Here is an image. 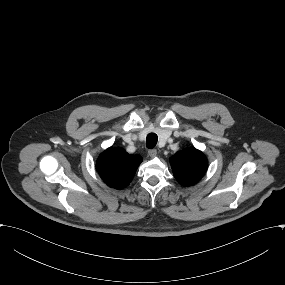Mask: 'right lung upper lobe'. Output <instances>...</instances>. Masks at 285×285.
Returning <instances> with one entry per match:
<instances>
[{
	"label": "right lung upper lobe",
	"instance_id": "1",
	"mask_svg": "<svg viewBox=\"0 0 285 285\" xmlns=\"http://www.w3.org/2000/svg\"><path fill=\"white\" fill-rule=\"evenodd\" d=\"M141 162L140 155L110 147L99 156L96 170L108 186L122 189L131 182Z\"/></svg>",
	"mask_w": 285,
	"mask_h": 285
}]
</instances>
